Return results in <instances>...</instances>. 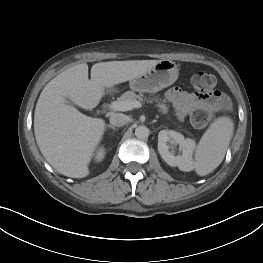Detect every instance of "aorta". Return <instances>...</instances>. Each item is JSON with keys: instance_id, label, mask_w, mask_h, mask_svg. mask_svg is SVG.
<instances>
[{"instance_id": "obj_1", "label": "aorta", "mask_w": 263, "mask_h": 263, "mask_svg": "<svg viewBox=\"0 0 263 263\" xmlns=\"http://www.w3.org/2000/svg\"><path fill=\"white\" fill-rule=\"evenodd\" d=\"M135 136L140 139L147 138L149 136V129L144 125H140L135 129Z\"/></svg>"}]
</instances>
